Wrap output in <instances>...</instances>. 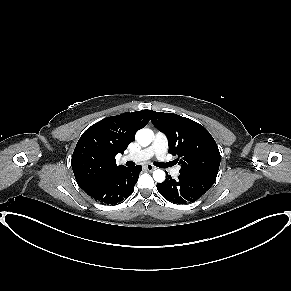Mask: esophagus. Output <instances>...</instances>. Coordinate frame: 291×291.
<instances>
[{
	"instance_id": "1",
	"label": "esophagus",
	"mask_w": 291,
	"mask_h": 291,
	"mask_svg": "<svg viewBox=\"0 0 291 291\" xmlns=\"http://www.w3.org/2000/svg\"><path fill=\"white\" fill-rule=\"evenodd\" d=\"M145 169L148 170V171H153L156 169L155 166L151 165V164H146L145 166Z\"/></svg>"
}]
</instances>
